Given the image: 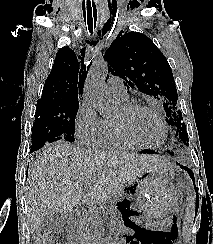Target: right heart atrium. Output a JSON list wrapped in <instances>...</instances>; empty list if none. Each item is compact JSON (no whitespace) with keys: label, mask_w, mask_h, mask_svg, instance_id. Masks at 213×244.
Masks as SVG:
<instances>
[{"label":"right heart atrium","mask_w":213,"mask_h":244,"mask_svg":"<svg viewBox=\"0 0 213 244\" xmlns=\"http://www.w3.org/2000/svg\"><path fill=\"white\" fill-rule=\"evenodd\" d=\"M106 126V120L99 116L89 101L80 103L75 117V136L88 145H99Z\"/></svg>","instance_id":"d8ad5b80"}]
</instances>
